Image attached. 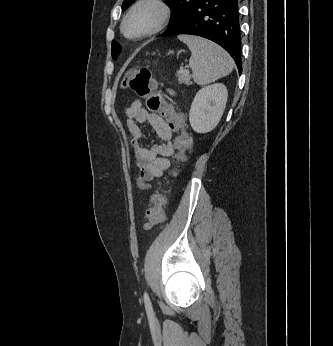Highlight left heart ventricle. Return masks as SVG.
<instances>
[{
	"label": "left heart ventricle",
	"mask_w": 333,
	"mask_h": 346,
	"mask_svg": "<svg viewBox=\"0 0 333 346\" xmlns=\"http://www.w3.org/2000/svg\"><path fill=\"white\" fill-rule=\"evenodd\" d=\"M159 18V11L151 5L138 8L127 20L125 30L129 35H136L152 28Z\"/></svg>",
	"instance_id": "1"
}]
</instances>
